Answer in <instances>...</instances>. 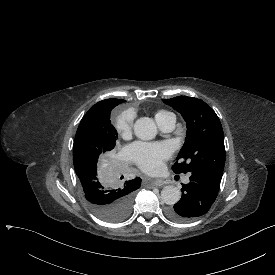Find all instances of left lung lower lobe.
Returning <instances> with one entry per match:
<instances>
[{
  "label": "left lung lower lobe",
  "mask_w": 275,
  "mask_h": 275,
  "mask_svg": "<svg viewBox=\"0 0 275 275\" xmlns=\"http://www.w3.org/2000/svg\"><path fill=\"white\" fill-rule=\"evenodd\" d=\"M190 183L182 184V197L167 215L174 221L185 222L204 215L214 203L222 176L207 172L190 173Z\"/></svg>",
  "instance_id": "0a47b994"
}]
</instances>
